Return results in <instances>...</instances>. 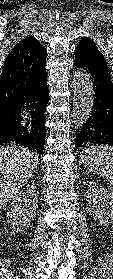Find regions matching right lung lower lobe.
I'll use <instances>...</instances> for the list:
<instances>
[{"instance_id": "1", "label": "right lung lower lobe", "mask_w": 113, "mask_h": 279, "mask_svg": "<svg viewBox=\"0 0 113 279\" xmlns=\"http://www.w3.org/2000/svg\"><path fill=\"white\" fill-rule=\"evenodd\" d=\"M48 100L45 72L18 96L0 119V144L16 143L43 154Z\"/></svg>"}]
</instances>
